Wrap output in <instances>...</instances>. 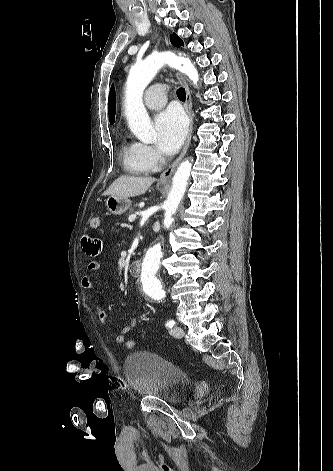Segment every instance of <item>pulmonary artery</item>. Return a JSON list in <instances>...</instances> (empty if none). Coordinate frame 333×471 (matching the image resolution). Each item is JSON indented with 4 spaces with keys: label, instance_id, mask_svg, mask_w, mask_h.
Listing matches in <instances>:
<instances>
[{
    "label": "pulmonary artery",
    "instance_id": "pulmonary-artery-1",
    "mask_svg": "<svg viewBox=\"0 0 333 471\" xmlns=\"http://www.w3.org/2000/svg\"><path fill=\"white\" fill-rule=\"evenodd\" d=\"M144 102L150 110L162 108L167 102L165 87L161 84L151 86L145 93Z\"/></svg>",
    "mask_w": 333,
    "mask_h": 471
}]
</instances>
